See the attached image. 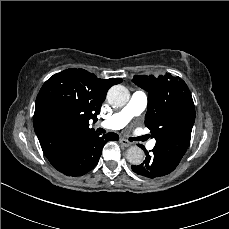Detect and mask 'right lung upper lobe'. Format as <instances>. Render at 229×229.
Returning a JSON list of instances; mask_svg holds the SVG:
<instances>
[{"label":"right lung upper lobe","instance_id":"cb5924a9","mask_svg":"<svg viewBox=\"0 0 229 229\" xmlns=\"http://www.w3.org/2000/svg\"><path fill=\"white\" fill-rule=\"evenodd\" d=\"M120 78L100 79L84 70L70 68L50 77L36 99L34 130L51 164L77 141L94 133L89 120L97 121L108 89Z\"/></svg>","mask_w":229,"mask_h":229}]
</instances>
